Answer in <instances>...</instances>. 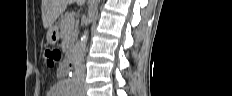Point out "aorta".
Wrapping results in <instances>:
<instances>
[{"label":"aorta","instance_id":"aorta-1","mask_svg":"<svg viewBox=\"0 0 232 96\" xmlns=\"http://www.w3.org/2000/svg\"><path fill=\"white\" fill-rule=\"evenodd\" d=\"M87 40L88 31L86 30L82 34L73 51V63L75 68H79L83 63Z\"/></svg>","mask_w":232,"mask_h":96}]
</instances>
